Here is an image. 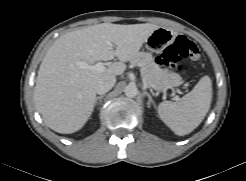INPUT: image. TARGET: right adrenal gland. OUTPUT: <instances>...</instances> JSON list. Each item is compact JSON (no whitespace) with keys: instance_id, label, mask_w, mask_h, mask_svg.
Returning <instances> with one entry per match:
<instances>
[{"instance_id":"right-adrenal-gland-1","label":"right adrenal gland","mask_w":246,"mask_h":181,"mask_svg":"<svg viewBox=\"0 0 246 181\" xmlns=\"http://www.w3.org/2000/svg\"><path fill=\"white\" fill-rule=\"evenodd\" d=\"M103 97H104V95H101V96L96 97V99H95V105L98 104V101L101 102L102 99H103Z\"/></svg>"}]
</instances>
